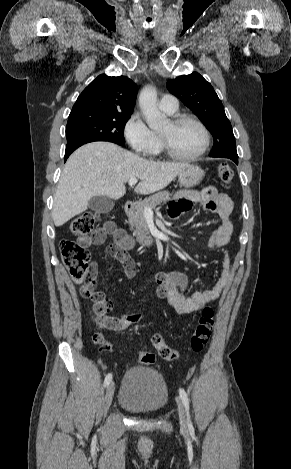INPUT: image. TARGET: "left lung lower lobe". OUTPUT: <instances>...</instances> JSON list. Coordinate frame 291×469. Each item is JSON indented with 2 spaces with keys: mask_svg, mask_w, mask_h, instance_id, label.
<instances>
[{
  "mask_svg": "<svg viewBox=\"0 0 291 469\" xmlns=\"http://www.w3.org/2000/svg\"><path fill=\"white\" fill-rule=\"evenodd\" d=\"M217 157H225L233 160L236 164H238V157L235 156H230V155H222V156H217Z\"/></svg>",
  "mask_w": 291,
  "mask_h": 469,
  "instance_id": "1",
  "label": "left lung lower lobe"
}]
</instances>
